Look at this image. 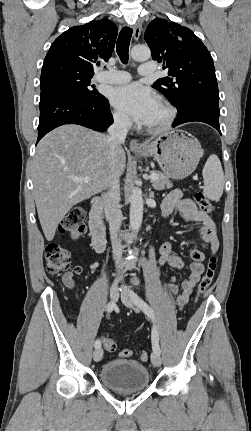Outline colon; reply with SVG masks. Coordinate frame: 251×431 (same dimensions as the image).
Wrapping results in <instances>:
<instances>
[{
	"instance_id": "colon-1",
	"label": "colon",
	"mask_w": 251,
	"mask_h": 431,
	"mask_svg": "<svg viewBox=\"0 0 251 431\" xmlns=\"http://www.w3.org/2000/svg\"><path fill=\"white\" fill-rule=\"evenodd\" d=\"M195 201L201 211L210 213L213 211V205L209 199L201 192H196L194 195ZM84 218L85 211L81 207H73L62 220L59 231L61 234L67 235L70 239H78L84 232ZM45 258L47 270L51 274H56L65 271L67 273V281L70 282L72 275H78L82 272V267L79 265L71 268V255L70 252L61 247L57 243H51L46 247ZM217 267L216 257H210L205 274L203 275L199 286L198 296L204 294L212 285L215 271ZM103 346L107 351H114L116 349L115 342L110 338L103 339ZM136 353L142 361H148L149 353L146 350L134 351L132 349H123L120 356L127 358Z\"/></svg>"
}]
</instances>
